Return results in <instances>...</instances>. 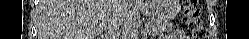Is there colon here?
Returning <instances> with one entry per match:
<instances>
[{
    "label": "colon",
    "mask_w": 249,
    "mask_h": 39,
    "mask_svg": "<svg viewBox=\"0 0 249 39\" xmlns=\"http://www.w3.org/2000/svg\"><path fill=\"white\" fill-rule=\"evenodd\" d=\"M185 23L192 34L193 39H203L206 37V28L199 21V7L197 0L184 1L182 8Z\"/></svg>",
    "instance_id": "obj_1"
}]
</instances>
